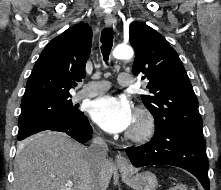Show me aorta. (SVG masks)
<instances>
[{"instance_id":"762f6f07","label":"aorta","mask_w":221,"mask_h":190,"mask_svg":"<svg viewBox=\"0 0 221 190\" xmlns=\"http://www.w3.org/2000/svg\"><path fill=\"white\" fill-rule=\"evenodd\" d=\"M113 57L119 60L131 59L133 57V49L129 45H118L113 51Z\"/></svg>"}]
</instances>
